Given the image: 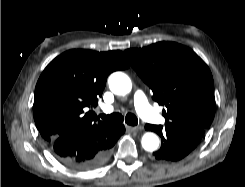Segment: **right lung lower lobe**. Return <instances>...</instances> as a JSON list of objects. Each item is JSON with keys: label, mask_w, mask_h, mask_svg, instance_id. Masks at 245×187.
<instances>
[{"label": "right lung lower lobe", "mask_w": 245, "mask_h": 187, "mask_svg": "<svg viewBox=\"0 0 245 187\" xmlns=\"http://www.w3.org/2000/svg\"><path fill=\"white\" fill-rule=\"evenodd\" d=\"M124 132L123 125H93L57 137L49 145L54 156L68 168L92 170L108 161L111 148Z\"/></svg>", "instance_id": "1"}]
</instances>
